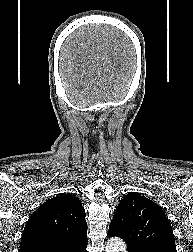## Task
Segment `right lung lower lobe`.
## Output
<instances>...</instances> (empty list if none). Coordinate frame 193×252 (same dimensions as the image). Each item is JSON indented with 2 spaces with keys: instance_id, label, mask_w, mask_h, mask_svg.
<instances>
[{
  "instance_id": "obj_1",
  "label": "right lung lower lobe",
  "mask_w": 193,
  "mask_h": 252,
  "mask_svg": "<svg viewBox=\"0 0 193 252\" xmlns=\"http://www.w3.org/2000/svg\"><path fill=\"white\" fill-rule=\"evenodd\" d=\"M86 247H87V244L81 248H79L78 250H76L75 252H87L86 251Z\"/></svg>"
}]
</instances>
